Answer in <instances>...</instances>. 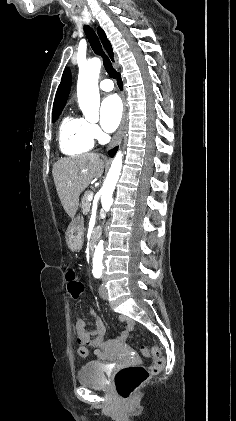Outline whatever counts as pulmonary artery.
Returning <instances> with one entry per match:
<instances>
[{"mask_svg": "<svg viewBox=\"0 0 236 421\" xmlns=\"http://www.w3.org/2000/svg\"><path fill=\"white\" fill-rule=\"evenodd\" d=\"M99 87L105 92L112 91L115 88L114 83L109 79L102 80L99 84Z\"/></svg>", "mask_w": 236, "mask_h": 421, "instance_id": "e3ab8cb5", "label": "pulmonary artery"}]
</instances>
